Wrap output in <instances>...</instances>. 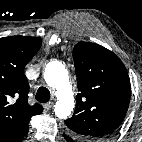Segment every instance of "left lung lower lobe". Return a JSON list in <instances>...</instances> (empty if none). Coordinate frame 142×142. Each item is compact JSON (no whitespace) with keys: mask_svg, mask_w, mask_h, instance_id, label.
Listing matches in <instances>:
<instances>
[{"mask_svg":"<svg viewBox=\"0 0 142 142\" xmlns=\"http://www.w3.org/2000/svg\"><path fill=\"white\" fill-rule=\"evenodd\" d=\"M64 138L66 139L67 142H75L72 137H70V135H68L67 133H64Z\"/></svg>","mask_w":142,"mask_h":142,"instance_id":"0a47b994","label":"left lung lower lobe"}]
</instances>
